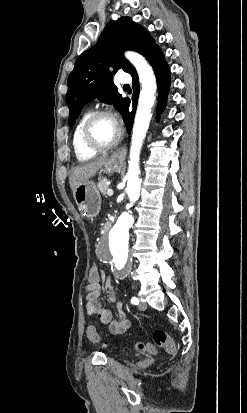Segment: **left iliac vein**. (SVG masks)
I'll use <instances>...</instances> for the list:
<instances>
[{
  "instance_id": "obj_1",
  "label": "left iliac vein",
  "mask_w": 247,
  "mask_h": 413,
  "mask_svg": "<svg viewBox=\"0 0 247 413\" xmlns=\"http://www.w3.org/2000/svg\"><path fill=\"white\" fill-rule=\"evenodd\" d=\"M138 308H139L140 310H145V309L147 308V306H146V304H145L144 302L140 301V303H139V305H138Z\"/></svg>"
}]
</instances>
